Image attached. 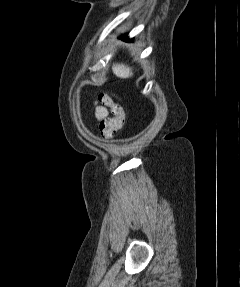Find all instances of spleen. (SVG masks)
I'll return each instance as SVG.
<instances>
[{
  "instance_id": "3e777b00",
  "label": "spleen",
  "mask_w": 240,
  "mask_h": 287,
  "mask_svg": "<svg viewBox=\"0 0 240 287\" xmlns=\"http://www.w3.org/2000/svg\"><path fill=\"white\" fill-rule=\"evenodd\" d=\"M113 73L122 79L129 78L133 75L131 68L123 65V64H116L112 68Z\"/></svg>"
}]
</instances>
